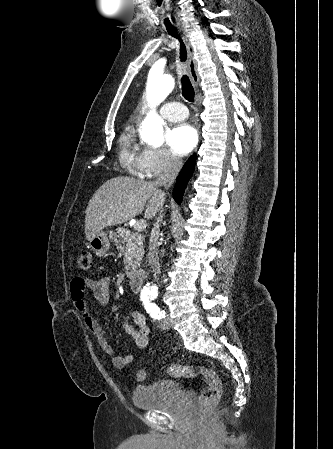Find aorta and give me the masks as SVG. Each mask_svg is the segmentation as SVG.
Masks as SVG:
<instances>
[{"label":"aorta","mask_w":333,"mask_h":449,"mask_svg":"<svg viewBox=\"0 0 333 449\" xmlns=\"http://www.w3.org/2000/svg\"><path fill=\"white\" fill-rule=\"evenodd\" d=\"M174 88V79L170 74L163 73L162 69L153 65L148 75L146 97L149 112L139 130L140 137L154 146H160L164 142L163 120L155 112L156 106L162 103ZM153 288V287H152ZM151 290L146 287L145 292Z\"/></svg>","instance_id":"obj_1"}]
</instances>
